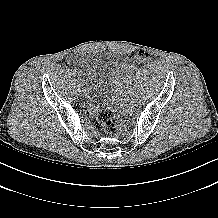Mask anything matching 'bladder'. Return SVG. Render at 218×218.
Wrapping results in <instances>:
<instances>
[{
	"instance_id": "bladder-1",
	"label": "bladder",
	"mask_w": 218,
	"mask_h": 218,
	"mask_svg": "<svg viewBox=\"0 0 218 218\" xmlns=\"http://www.w3.org/2000/svg\"><path fill=\"white\" fill-rule=\"evenodd\" d=\"M78 63L84 70V94L93 109L110 107L113 91L127 72L124 61L112 53L81 55Z\"/></svg>"
}]
</instances>
